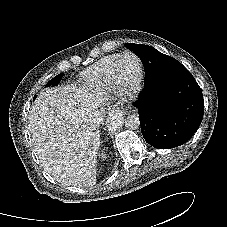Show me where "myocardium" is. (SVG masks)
I'll return each mask as SVG.
<instances>
[{
    "mask_svg": "<svg viewBox=\"0 0 227 227\" xmlns=\"http://www.w3.org/2000/svg\"><path fill=\"white\" fill-rule=\"evenodd\" d=\"M126 56H131L133 57L138 65V73L136 78L133 80V82L129 85H123L120 80L118 79V67H119V63L121 62V60L126 57ZM143 75H144V67H143V63L140 59V57L131 52V51H125L122 54H120L118 56V58L116 59V61L114 62L111 71H110V79H111V83L112 85L121 93L122 96L124 97H128L133 95L134 93H136L138 91V89L141 86L142 80H143Z\"/></svg>",
    "mask_w": 227,
    "mask_h": 227,
    "instance_id": "f54148a6",
    "label": "myocardium"
}]
</instances>
